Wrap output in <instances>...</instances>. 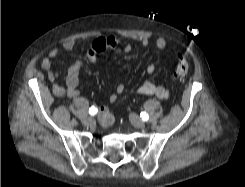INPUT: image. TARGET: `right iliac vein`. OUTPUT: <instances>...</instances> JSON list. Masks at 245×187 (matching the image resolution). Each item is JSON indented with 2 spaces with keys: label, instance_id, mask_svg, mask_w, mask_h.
Masks as SVG:
<instances>
[{
  "label": "right iliac vein",
  "instance_id": "right-iliac-vein-1",
  "mask_svg": "<svg viewBox=\"0 0 245 187\" xmlns=\"http://www.w3.org/2000/svg\"><path fill=\"white\" fill-rule=\"evenodd\" d=\"M94 123V119L93 118H85L83 120V124L86 126H91Z\"/></svg>",
  "mask_w": 245,
  "mask_h": 187
}]
</instances>
